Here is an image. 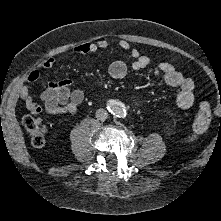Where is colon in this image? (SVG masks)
I'll list each match as a JSON object with an SVG mask.
<instances>
[{
    "instance_id": "1",
    "label": "colon",
    "mask_w": 221,
    "mask_h": 221,
    "mask_svg": "<svg viewBox=\"0 0 221 221\" xmlns=\"http://www.w3.org/2000/svg\"><path fill=\"white\" fill-rule=\"evenodd\" d=\"M211 122V102L207 97L201 98L198 110L193 120V133L188 138L189 143L195 142L209 128ZM23 126L31 138L32 145L37 148L45 146L48 135V127L43 120L29 114L23 118Z\"/></svg>"
}]
</instances>
